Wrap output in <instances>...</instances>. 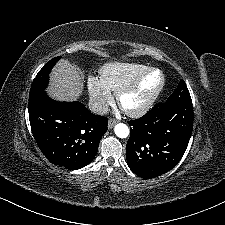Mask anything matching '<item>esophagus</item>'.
<instances>
[{
  "instance_id": "esophagus-1",
  "label": "esophagus",
  "mask_w": 225,
  "mask_h": 225,
  "mask_svg": "<svg viewBox=\"0 0 225 225\" xmlns=\"http://www.w3.org/2000/svg\"><path fill=\"white\" fill-rule=\"evenodd\" d=\"M117 122H118V121L115 120V119H110V120L108 121V128H109V129L113 128L114 125H115Z\"/></svg>"
}]
</instances>
